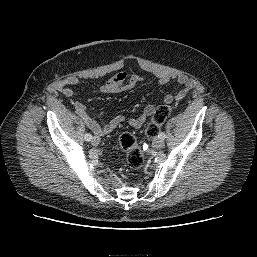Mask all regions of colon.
Here are the masks:
<instances>
[{"label":"colon","instance_id":"1","mask_svg":"<svg viewBox=\"0 0 257 257\" xmlns=\"http://www.w3.org/2000/svg\"><path fill=\"white\" fill-rule=\"evenodd\" d=\"M171 112L167 104L158 106L147 125L146 134L153 137L158 132L160 126L165 122ZM119 147L126 153V163L131 169H139L144 164V154L139 147L135 136L131 132H124L118 140Z\"/></svg>","mask_w":257,"mask_h":257}]
</instances>
